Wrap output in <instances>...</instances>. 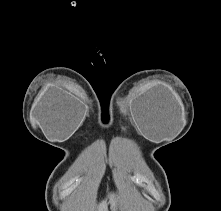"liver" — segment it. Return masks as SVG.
Here are the masks:
<instances>
[{"label":"liver","instance_id":"liver-1","mask_svg":"<svg viewBox=\"0 0 221 211\" xmlns=\"http://www.w3.org/2000/svg\"><path fill=\"white\" fill-rule=\"evenodd\" d=\"M110 204H111V210L115 211L116 209V202H115V198L114 195H110ZM98 211H106L105 210V204L104 202L100 203L98 206Z\"/></svg>","mask_w":221,"mask_h":211}]
</instances>
